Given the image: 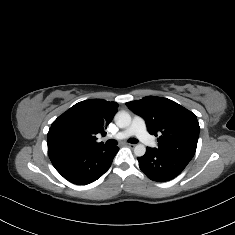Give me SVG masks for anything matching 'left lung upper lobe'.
<instances>
[{
    "mask_svg": "<svg viewBox=\"0 0 235 235\" xmlns=\"http://www.w3.org/2000/svg\"><path fill=\"white\" fill-rule=\"evenodd\" d=\"M146 121L150 134L159 136V152L191 160L195 154L200 127L194 113L178 103L162 97L147 96L126 103Z\"/></svg>",
    "mask_w": 235,
    "mask_h": 235,
    "instance_id": "1",
    "label": "left lung upper lobe"
}]
</instances>
